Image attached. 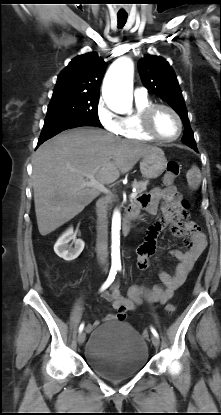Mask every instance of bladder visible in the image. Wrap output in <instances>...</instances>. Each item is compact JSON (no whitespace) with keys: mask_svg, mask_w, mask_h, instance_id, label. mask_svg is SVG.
Masks as SVG:
<instances>
[{"mask_svg":"<svg viewBox=\"0 0 221 415\" xmlns=\"http://www.w3.org/2000/svg\"><path fill=\"white\" fill-rule=\"evenodd\" d=\"M89 367L98 375L119 380L139 373L149 351L144 338L129 323L111 321L96 328L85 348Z\"/></svg>","mask_w":221,"mask_h":415,"instance_id":"bladder-1","label":"bladder"}]
</instances>
